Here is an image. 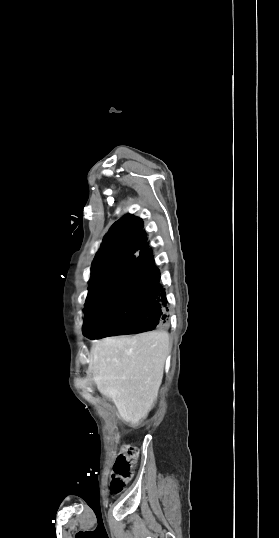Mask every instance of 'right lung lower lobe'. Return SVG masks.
<instances>
[{"label":"right lung lower lobe","mask_w":279,"mask_h":538,"mask_svg":"<svg viewBox=\"0 0 279 538\" xmlns=\"http://www.w3.org/2000/svg\"><path fill=\"white\" fill-rule=\"evenodd\" d=\"M83 333L90 339L166 329L168 302L142 219L131 214L105 234L91 268Z\"/></svg>","instance_id":"98d812e1"}]
</instances>
